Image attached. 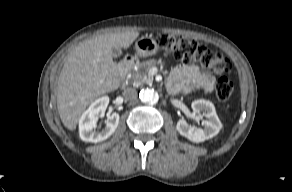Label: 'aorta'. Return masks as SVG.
<instances>
[{"label": "aorta", "instance_id": "762f6f07", "mask_svg": "<svg viewBox=\"0 0 292 192\" xmlns=\"http://www.w3.org/2000/svg\"><path fill=\"white\" fill-rule=\"evenodd\" d=\"M139 98L141 102L148 105H153L158 102L159 95L154 89L146 88L140 91Z\"/></svg>", "mask_w": 292, "mask_h": 192}]
</instances>
